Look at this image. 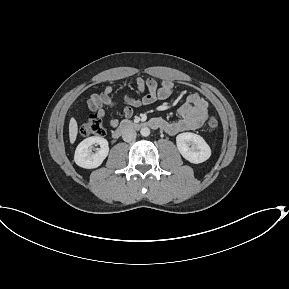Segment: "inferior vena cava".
I'll list each match as a JSON object with an SVG mask.
<instances>
[{
  "label": "inferior vena cava",
  "mask_w": 289,
  "mask_h": 289,
  "mask_svg": "<svg viewBox=\"0 0 289 289\" xmlns=\"http://www.w3.org/2000/svg\"><path fill=\"white\" fill-rule=\"evenodd\" d=\"M136 135L137 134L134 129L128 128L123 131L122 138L125 142H131L135 140Z\"/></svg>",
  "instance_id": "602c4592"
}]
</instances>
